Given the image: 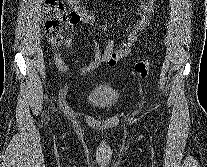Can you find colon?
<instances>
[{
  "label": "colon",
  "instance_id": "obj_1",
  "mask_svg": "<svg viewBox=\"0 0 207 167\" xmlns=\"http://www.w3.org/2000/svg\"><path fill=\"white\" fill-rule=\"evenodd\" d=\"M45 33L51 43L58 42L62 37V30L68 25V19L65 8L60 0L45 1ZM152 65L151 59H146L136 63L132 74L144 77L147 75Z\"/></svg>",
  "mask_w": 207,
  "mask_h": 167
}]
</instances>
